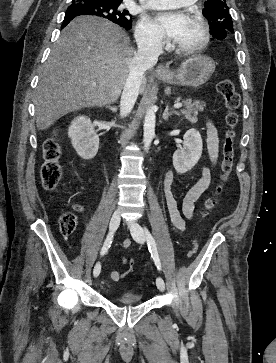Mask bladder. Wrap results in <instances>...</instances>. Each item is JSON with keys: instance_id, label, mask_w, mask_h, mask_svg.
Returning a JSON list of instances; mask_svg holds the SVG:
<instances>
[{"instance_id": "31cf9c89", "label": "bladder", "mask_w": 276, "mask_h": 363, "mask_svg": "<svg viewBox=\"0 0 276 363\" xmlns=\"http://www.w3.org/2000/svg\"><path fill=\"white\" fill-rule=\"evenodd\" d=\"M116 302L123 305H135L143 302V298L133 292H122L117 298Z\"/></svg>"}]
</instances>
